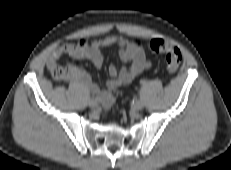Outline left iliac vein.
<instances>
[{"mask_svg": "<svg viewBox=\"0 0 231 170\" xmlns=\"http://www.w3.org/2000/svg\"><path fill=\"white\" fill-rule=\"evenodd\" d=\"M144 107V102L142 100H137L135 103H134V109L136 111H140L142 110Z\"/></svg>", "mask_w": 231, "mask_h": 170, "instance_id": "4c4485c4", "label": "left iliac vein"}]
</instances>
